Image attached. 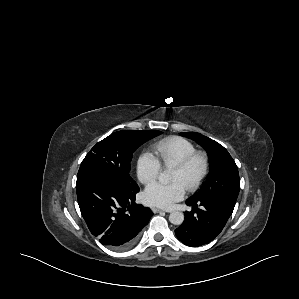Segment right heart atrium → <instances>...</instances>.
I'll return each mask as SVG.
<instances>
[{"label":"right heart atrium","instance_id":"d8ad5b80","mask_svg":"<svg viewBox=\"0 0 299 299\" xmlns=\"http://www.w3.org/2000/svg\"><path fill=\"white\" fill-rule=\"evenodd\" d=\"M161 171L159 160L150 152H142L136 162V174L141 183L147 184L155 180Z\"/></svg>","mask_w":299,"mask_h":299}]
</instances>
